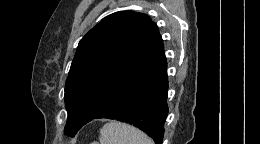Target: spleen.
<instances>
[{
	"mask_svg": "<svg viewBox=\"0 0 260 144\" xmlns=\"http://www.w3.org/2000/svg\"><path fill=\"white\" fill-rule=\"evenodd\" d=\"M100 144H153V141L135 127L111 121L100 129Z\"/></svg>",
	"mask_w": 260,
	"mask_h": 144,
	"instance_id": "3e777b00",
	"label": "spleen"
}]
</instances>
